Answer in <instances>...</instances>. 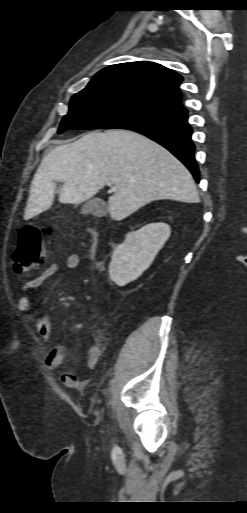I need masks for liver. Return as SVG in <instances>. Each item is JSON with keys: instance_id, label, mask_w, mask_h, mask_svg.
<instances>
[{"instance_id": "6515ba94", "label": "liver", "mask_w": 247, "mask_h": 513, "mask_svg": "<svg viewBox=\"0 0 247 513\" xmlns=\"http://www.w3.org/2000/svg\"><path fill=\"white\" fill-rule=\"evenodd\" d=\"M57 182L64 183L59 202L69 204L112 183L108 211L116 221L155 200L200 201L188 169L157 142L129 130L89 132L49 152L33 178L25 220L51 207Z\"/></svg>"}]
</instances>
